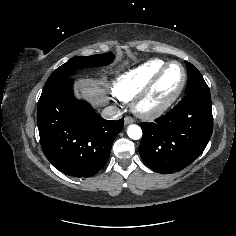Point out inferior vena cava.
<instances>
[{
	"label": "inferior vena cava",
	"mask_w": 236,
	"mask_h": 236,
	"mask_svg": "<svg viewBox=\"0 0 236 236\" xmlns=\"http://www.w3.org/2000/svg\"><path fill=\"white\" fill-rule=\"evenodd\" d=\"M121 114V111L117 107L108 106L102 111L101 116L105 119L116 120Z\"/></svg>",
	"instance_id": "1"
}]
</instances>
